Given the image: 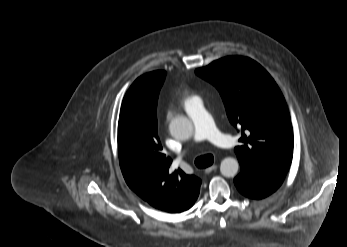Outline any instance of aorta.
Returning a JSON list of instances; mask_svg holds the SVG:
<instances>
[{
	"instance_id": "aorta-1",
	"label": "aorta",
	"mask_w": 347,
	"mask_h": 247,
	"mask_svg": "<svg viewBox=\"0 0 347 247\" xmlns=\"http://www.w3.org/2000/svg\"><path fill=\"white\" fill-rule=\"evenodd\" d=\"M171 135L179 140H187L192 136L193 124L184 117H175L169 125ZM239 169L238 161L233 157H226L222 160L220 165V172L225 177H234Z\"/></svg>"
}]
</instances>
